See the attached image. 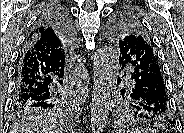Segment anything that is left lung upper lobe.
Returning <instances> with one entry per match:
<instances>
[{
    "label": "left lung upper lobe",
    "mask_w": 184,
    "mask_h": 133,
    "mask_svg": "<svg viewBox=\"0 0 184 133\" xmlns=\"http://www.w3.org/2000/svg\"><path fill=\"white\" fill-rule=\"evenodd\" d=\"M107 32L117 47L122 68L126 65L134 67L137 60H140V62H145L144 65L149 64L150 67L157 68L162 74L152 41L136 17L124 14L114 18L110 22ZM121 94L118 105L121 111L138 118L133 107L132 87L126 90L121 89Z\"/></svg>",
    "instance_id": "left-lung-upper-lobe-1"
}]
</instances>
